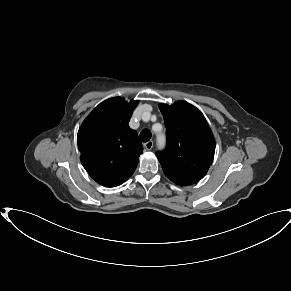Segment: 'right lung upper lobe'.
<instances>
[{"mask_svg":"<svg viewBox=\"0 0 291 291\" xmlns=\"http://www.w3.org/2000/svg\"><path fill=\"white\" fill-rule=\"evenodd\" d=\"M138 103H127L120 97L107 99L95 107L79 128L81 162L100 185L119 186L137 167L142 145L128 124Z\"/></svg>","mask_w":291,"mask_h":291,"instance_id":"cb5924a9","label":"right lung upper lobe"}]
</instances>
